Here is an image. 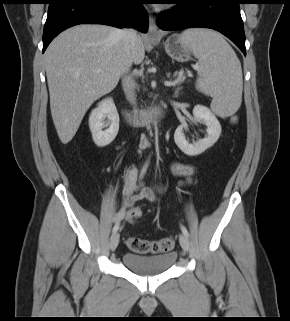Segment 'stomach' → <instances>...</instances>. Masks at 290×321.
<instances>
[{"mask_svg": "<svg viewBox=\"0 0 290 321\" xmlns=\"http://www.w3.org/2000/svg\"><path fill=\"white\" fill-rule=\"evenodd\" d=\"M153 44H159V41H153ZM166 53L178 62H187L191 59L193 51L186 46L180 39V35H171L164 43Z\"/></svg>", "mask_w": 290, "mask_h": 321, "instance_id": "0dacf381", "label": "stomach"}]
</instances>
